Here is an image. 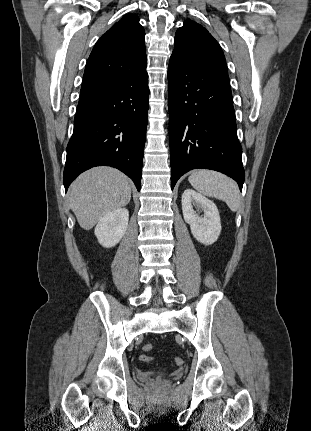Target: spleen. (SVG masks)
I'll return each instance as SVG.
<instances>
[{
	"mask_svg": "<svg viewBox=\"0 0 311 431\" xmlns=\"http://www.w3.org/2000/svg\"><path fill=\"white\" fill-rule=\"evenodd\" d=\"M188 180L194 190L203 196L223 200L232 212L239 210L240 192L236 182L231 178L212 170H194Z\"/></svg>",
	"mask_w": 311,
	"mask_h": 431,
	"instance_id": "obj_1",
	"label": "spleen"
}]
</instances>
